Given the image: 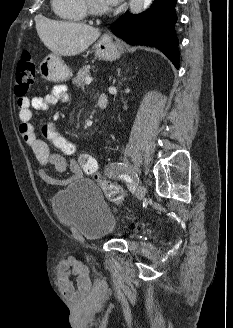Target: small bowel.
Returning a JSON list of instances; mask_svg holds the SVG:
<instances>
[{"instance_id":"obj_1","label":"small bowel","mask_w":233,"mask_h":328,"mask_svg":"<svg viewBox=\"0 0 233 328\" xmlns=\"http://www.w3.org/2000/svg\"><path fill=\"white\" fill-rule=\"evenodd\" d=\"M68 99L69 96L65 87L57 85L43 97H19L16 100V108L20 120L19 133L33 151L39 164L42 167L52 166L57 172H64L69 166L72 171L70 178L60 180L51 176L44 168L40 169L38 172L39 177L48 185L66 186L84 176V171L76 160L73 159L68 164L63 156L52 153L48 145L37 138L31 124L33 110L46 111L49 107L57 103L67 102ZM57 117L58 115L55 114L54 118L57 119ZM59 285L62 294L67 299L79 300L86 297L92 289L88 268L75 258L70 257L65 259L60 264Z\"/></svg>"}]
</instances>
